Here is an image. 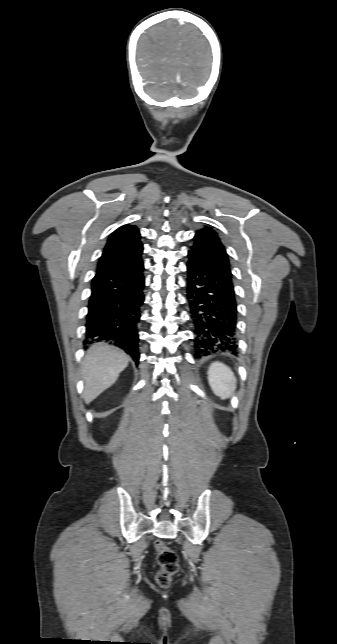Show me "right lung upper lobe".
<instances>
[{"label":"right lung upper lobe","instance_id":"cb5924a9","mask_svg":"<svg viewBox=\"0 0 337 644\" xmlns=\"http://www.w3.org/2000/svg\"><path fill=\"white\" fill-rule=\"evenodd\" d=\"M140 237L136 226L124 225L115 230L107 241L97 271L114 264L139 259L143 252Z\"/></svg>","mask_w":337,"mask_h":644}]
</instances>
